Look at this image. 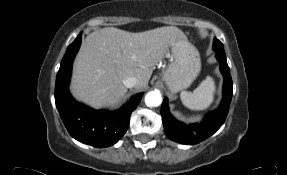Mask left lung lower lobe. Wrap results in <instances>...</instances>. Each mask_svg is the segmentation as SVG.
I'll list each match as a JSON object with an SVG mask.
<instances>
[{"instance_id":"1","label":"left lung lower lobe","mask_w":287,"mask_h":175,"mask_svg":"<svg viewBox=\"0 0 287 175\" xmlns=\"http://www.w3.org/2000/svg\"><path fill=\"white\" fill-rule=\"evenodd\" d=\"M220 63V70L224 76L223 99L219 108L208 113L201 123L183 124L174 119L169 112L168 99L164 98L161 106L164 132L171 140L187 145L197 144L214 134L224 123L232 99L233 83L225 52L216 51Z\"/></svg>"}]
</instances>
